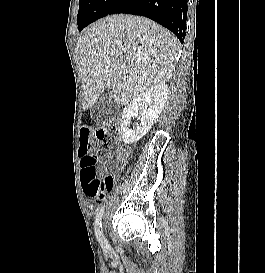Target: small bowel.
Segmentation results:
<instances>
[{"label": "small bowel", "mask_w": 265, "mask_h": 273, "mask_svg": "<svg viewBox=\"0 0 265 273\" xmlns=\"http://www.w3.org/2000/svg\"><path fill=\"white\" fill-rule=\"evenodd\" d=\"M80 129H95V124H80ZM117 155L119 157H122L124 155V152L122 150H117ZM86 196L89 200L94 201L96 204L101 203L105 198L100 196H93L91 194H86Z\"/></svg>", "instance_id": "obj_1"}]
</instances>
